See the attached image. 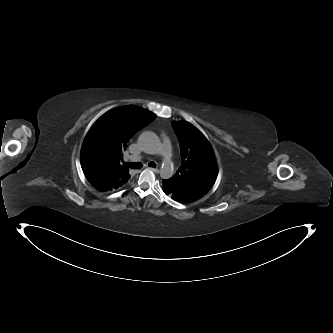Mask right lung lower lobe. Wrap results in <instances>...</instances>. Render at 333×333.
<instances>
[{"label": "right lung lower lobe", "mask_w": 333, "mask_h": 333, "mask_svg": "<svg viewBox=\"0 0 333 333\" xmlns=\"http://www.w3.org/2000/svg\"><path fill=\"white\" fill-rule=\"evenodd\" d=\"M82 169L84 171V174L86 176V178L88 179V181L90 182V184L95 187L97 190L103 191L97 183V180L95 178V174H92L93 172H95V170H92L89 166V164L87 162H82Z\"/></svg>", "instance_id": "1"}]
</instances>
